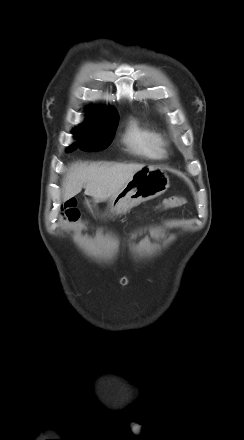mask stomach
Instances as JSON below:
<instances>
[{
  "instance_id": "1",
  "label": "stomach",
  "mask_w": 244,
  "mask_h": 440,
  "mask_svg": "<svg viewBox=\"0 0 244 440\" xmlns=\"http://www.w3.org/2000/svg\"><path fill=\"white\" fill-rule=\"evenodd\" d=\"M169 188L168 175L157 166H143L136 172L133 178L109 201L111 213L123 214L129 209L138 206L142 202L154 199L163 194ZM89 209L93 212L97 201H86Z\"/></svg>"
}]
</instances>
